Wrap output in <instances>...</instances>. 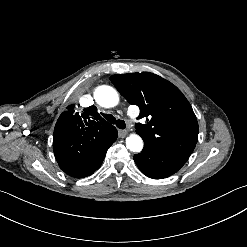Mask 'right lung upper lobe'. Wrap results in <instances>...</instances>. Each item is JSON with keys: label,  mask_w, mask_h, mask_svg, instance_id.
<instances>
[{"label": "right lung upper lobe", "mask_w": 247, "mask_h": 247, "mask_svg": "<svg viewBox=\"0 0 247 247\" xmlns=\"http://www.w3.org/2000/svg\"><path fill=\"white\" fill-rule=\"evenodd\" d=\"M70 105L58 118L53 150L58 161H80L109 147L117 138L114 126L102 119L95 106L79 115Z\"/></svg>", "instance_id": "right-lung-upper-lobe-1"}]
</instances>
